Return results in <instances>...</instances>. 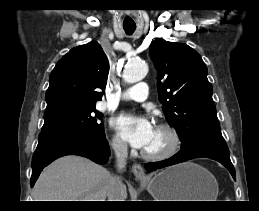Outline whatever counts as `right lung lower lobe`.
<instances>
[{
	"mask_svg": "<svg viewBox=\"0 0 259 211\" xmlns=\"http://www.w3.org/2000/svg\"><path fill=\"white\" fill-rule=\"evenodd\" d=\"M65 155H79L104 164L110 149L104 131L88 133L80 131H48L39 134L38 145L32 158L31 187L44 167Z\"/></svg>",
	"mask_w": 259,
	"mask_h": 211,
	"instance_id": "98d812e1",
	"label": "right lung lower lobe"
}]
</instances>
